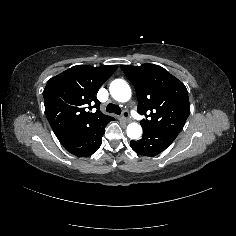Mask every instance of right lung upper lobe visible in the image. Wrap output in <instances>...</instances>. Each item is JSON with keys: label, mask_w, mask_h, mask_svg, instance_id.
I'll return each instance as SVG.
<instances>
[{"label": "right lung upper lobe", "mask_w": 236, "mask_h": 236, "mask_svg": "<svg viewBox=\"0 0 236 236\" xmlns=\"http://www.w3.org/2000/svg\"><path fill=\"white\" fill-rule=\"evenodd\" d=\"M117 69L115 65H77L48 80L43 92L47 119L60 143L78 132L114 119L103 114L95 94ZM96 108L88 112L85 108Z\"/></svg>", "instance_id": "cb5924a9"}]
</instances>
